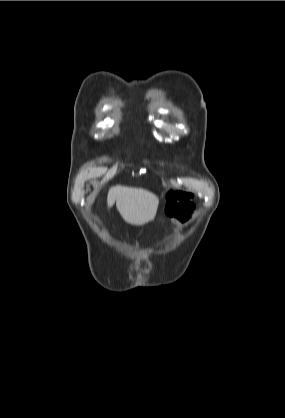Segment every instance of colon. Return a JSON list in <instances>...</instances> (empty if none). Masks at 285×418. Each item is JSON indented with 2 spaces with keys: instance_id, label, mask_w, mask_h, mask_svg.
Masks as SVG:
<instances>
[{
  "instance_id": "5ec220e1",
  "label": "colon",
  "mask_w": 285,
  "mask_h": 418,
  "mask_svg": "<svg viewBox=\"0 0 285 418\" xmlns=\"http://www.w3.org/2000/svg\"><path fill=\"white\" fill-rule=\"evenodd\" d=\"M192 212L193 204L190 201V194L176 190L168 192L166 213L175 224L189 222Z\"/></svg>"
}]
</instances>
